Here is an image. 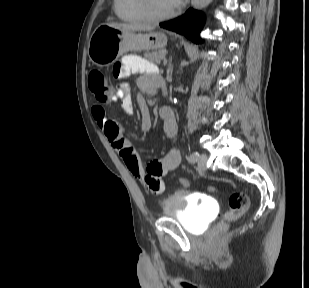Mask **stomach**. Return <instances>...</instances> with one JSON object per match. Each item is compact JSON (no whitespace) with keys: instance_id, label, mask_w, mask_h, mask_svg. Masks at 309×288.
Returning <instances> with one entry per match:
<instances>
[{"instance_id":"obj_1","label":"stomach","mask_w":309,"mask_h":288,"mask_svg":"<svg viewBox=\"0 0 309 288\" xmlns=\"http://www.w3.org/2000/svg\"><path fill=\"white\" fill-rule=\"evenodd\" d=\"M166 45L167 37L162 32L141 34L102 24L89 39L88 56L96 66L106 67L128 51L161 49Z\"/></svg>"}]
</instances>
